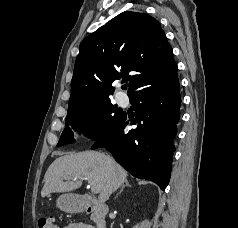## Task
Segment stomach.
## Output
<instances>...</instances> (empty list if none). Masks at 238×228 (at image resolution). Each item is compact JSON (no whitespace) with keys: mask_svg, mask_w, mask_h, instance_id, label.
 <instances>
[{"mask_svg":"<svg viewBox=\"0 0 238 228\" xmlns=\"http://www.w3.org/2000/svg\"><path fill=\"white\" fill-rule=\"evenodd\" d=\"M57 206L66 212H76L82 209V203L79 198L70 193L61 195L57 199Z\"/></svg>","mask_w":238,"mask_h":228,"instance_id":"obj_1","label":"stomach"}]
</instances>
